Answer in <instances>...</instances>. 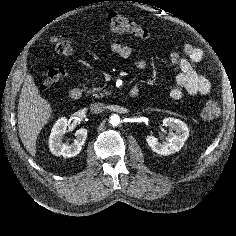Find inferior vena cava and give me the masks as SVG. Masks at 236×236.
<instances>
[{
  "instance_id": "1",
  "label": "inferior vena cava",
  "mask_w": 236,
  "mask_h": 236,
  "mask_svg": "<svg viewBox=\"0 0 236 236\" xmlns=\"http://www.w3.org/2000/svg\"><path fill=\"white\" fill-rule=\"evenodd\" d=\"M89 109L92 113L99 114L105 110V106L103 103L97 102V103H92Z\"/></svg>"
}]
</instances>
